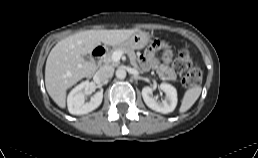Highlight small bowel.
<instances>
[{
	"label": "small bowel",
	"instance_id": "c3829d8e",
	"mask_svg": "<svg viewBox=\"0 0 258 158\" xmlns=\"http://www.w3.org/2000/svg\"><path fill=\"white\" fill-rule=\"evenodd\" d=\"M158 48H160L159 43L153 44L151 47H149L142 56L141 62L143 63L145 68H152L156 70L157 74L163 80H174L176 75L171 68L172 52L166 45H164L163 58L162 61H160L156 57V49Z\"/></svg>",
	"mask_w": 258,
	"mask_h": 158
}]
</instances>
